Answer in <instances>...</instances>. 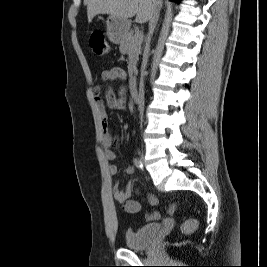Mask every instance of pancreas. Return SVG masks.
Masks as SVG:
<instances>
[{
  "label": "pancreas",
  "mask_w": 267,
  "mask_h": 267,
  "mask_svg": "<svg viewBox=\"0 0 267 267\" xmlns=\"http://www.w3.org/2000/svg\"><path fill=\"white\" fill-rule=\"evenodd\" d=\"M134 33V30L127 32L120 41L119 47V50L122 54H127L129 56L128 72L130 77H132V74L136 72V64L142 44V41L137 39L136 34Z\"/></svg>",
  "instance_id": "pancreas-1"
}]
</instances>
